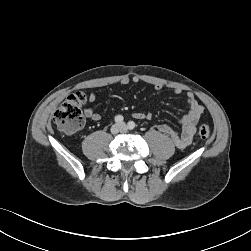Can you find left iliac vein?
Listing matches in <instances>:
<instances>
[{"label":"left iliac vein","instance_id":"4c4485c4","mask_svg":"<svg viewBox=\"0 0 251 251\" xmlns=\"http://www.w3.org/2000/svg\"><path fill=\"white\" fill-rule=\"evenodd\" d=\"M121 126H122L123 129H125V125L124 124H122Z\"/></svg>","mask_w":251,"mask_h":251}]
</instances>
